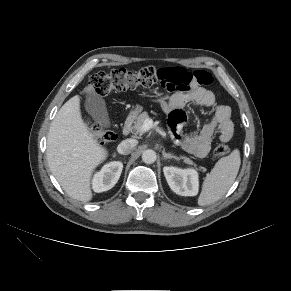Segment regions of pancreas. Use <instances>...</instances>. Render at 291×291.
Returning <instances> with one entry per match:
<instances>
[{
    "label": "pancreas",
    "mask_w": 291,
    "mask_h": 291,
    "mask_svg": "<svg viewBox=\"0 0 291 291\" xmlns=\"http://www.w3.org/2000/svg\"><path fill=\"white\" fill-rule=\"evenodd\" d=\"M149 119V115L147 112H143L141 113L137 119L134 121V124L132 126V129L134 131H136L137 133L139 134H142L144 133L143 129H142V125L143 123L145 122V120ZM181 159H183V161L186 163V164H189V165H193V161L190 160L189 158L185 157V156H181L180 157ZM201 170L205 171V168L204 167H200Z\"/></svg>",
    "instance_id": "obj_1"
}]
</instances>
